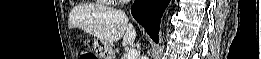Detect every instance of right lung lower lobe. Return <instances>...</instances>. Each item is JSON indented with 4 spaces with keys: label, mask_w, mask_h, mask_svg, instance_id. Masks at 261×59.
I'll use <instances>...</instances> for the list:
<instances>
[{
    "label": "right lung lower lobe",
    "mask_w": 261,
    "mask_h": 59,
    "mask_svg": "<svg viewBox=\"0 0 261 59\" xmlns=\"http://www.w3.org/2000/svg\"><path fill=\"white\" fill-rule=\"evenodd\" d=\"M170 0H135L131 13L157 43L161 17Z\"/></svg>",
    "instance_id": "obj_1"
}]
</instances>
